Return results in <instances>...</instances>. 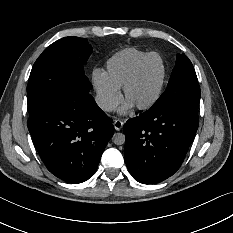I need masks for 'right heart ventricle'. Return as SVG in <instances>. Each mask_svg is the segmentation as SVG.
<instances>
[{
	"instance_id": "obj_1",
	"label": "right heart ventricle",
	"mask_w": 233,
	"mask_h": 233,
	"mask_svg": "<svg viewBox=\"0 0 233 233\" xmlns=\"http://www.w3.org/2000/svg\"><path fill=\"white\" fill-rule=\"evenodd\" d=\"M149 54L137 48H125L111 55L105 63V74L119 89L134 68Z\"/></svg>"
}]
</instances>
